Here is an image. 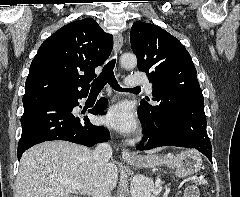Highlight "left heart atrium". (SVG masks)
<instances>
[{
    "label": "left heart atrium",
    "instance_id": "left-heart-atrium-1",
    "mask_svg": "<svg viewBox=\"0 0 240 197\" xmlns=\"http://www.w3.org/2000/svg\"><path fill=\"white\" fill-rule=\"evenodd\" d=\"M103 123L123 133L133 132L137 128L135 114L127 103H119L112 106L104 115Z\"/></svg>",
    "mask_w": 240,
    "mask_h": 197
}]
</instances>
